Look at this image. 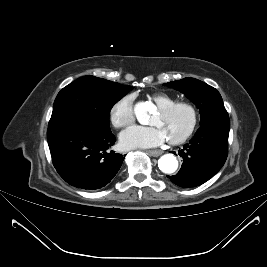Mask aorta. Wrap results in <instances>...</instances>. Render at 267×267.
I'll use <instances>...</instances> for the list:
<instances>
[{"mask_svg":"<svg viewBox=\"0 0 267 267\" xmlns=\"http://www.w3.org/2000/svg\"><path fill=\"white\" fill-rule=\"evenodd\" d=\"M149 103L139 102L134 108V113L140 123H145L148 117ZM159 169L166 174H172L177 170L178 161L173 154H165L158 160Z\"/></svg>","mask_w":267,"mask_h":267,"instance_id":"762f6f07","label":"aorta"}]
</instances>
